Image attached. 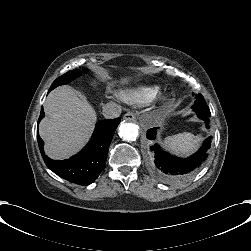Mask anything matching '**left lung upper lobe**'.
<instances>
[{
	"instance_id": "obj_1",
	"label": "left lung upper lobe",
	"mask_w": 251,
	"mask_h": 251,
	"mask_svg": "<svg viewBox=\"0 0 251 251\" xmlns=\"http://www.w3.org/2000/svg\"><path fill=\"white\" fill-rule=\"evenodd\" d=\"M192 107L197 108V109H201L204 111H210L209 107L207 106V104L205 102L204 97L201 94H198L196 101Z\"/></svg>"
}]
</instances>
